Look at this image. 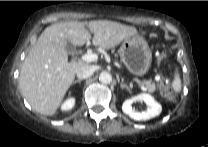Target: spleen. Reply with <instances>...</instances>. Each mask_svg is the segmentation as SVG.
Listing matches in <instances>:
<instances>
[{
	"instance_id": "spleen-1",
	"label": "spleen",
	"mask_w": 208,
	"mask_h": 147,
	"mask_svg": "<svg viewBox=\"0 0 208 147\" xmlns=\"http://www.w3.org/2000/svg\"><path fill=\"white\" fill-rule=\"evenodd\" d=\"M172 88L177 93L181 91L182 84H181V79H180V75L178 71L175 73L174 79L172 81Z\"/></svg>"
}]
</instances>
